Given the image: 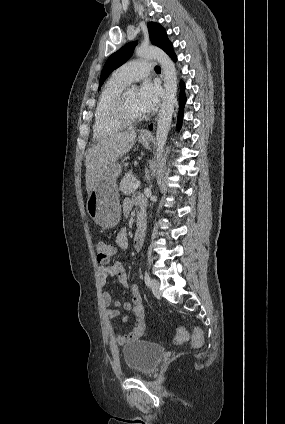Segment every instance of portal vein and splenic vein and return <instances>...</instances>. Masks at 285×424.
<instances>
[{
    "label": "portal vein and splenic vein",
    "instance_id": "obj_1",
    "mask_svg": "<svg viewBox=\"0 0 285 424\" xmlns=\"http://www.w3.org/2000/svg\"><path fill=\"white\" fill-rule=\"evenodd\" d=\"M140 186V181H136L133 185H132V188L135 190V189H138V187Z\"/></svg>",
    "mask_w": 285,
    "mask_h": 424
}]
</instances>
